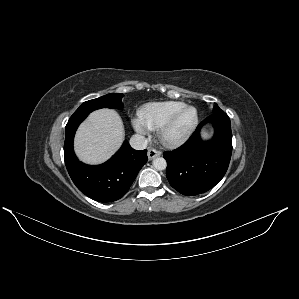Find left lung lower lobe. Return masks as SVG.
I'll use <instances>...</instances> for the list:
<instances>
[{"label": "left lung lower lobe", "instance_id": "left-lung-lower-lobe-1", "mask_svg": "<svg viewBox=\"0 0 299 299\" xmlns=\"http://www.w3.org/2000/svg\"><path fill=\"white\" fill-rule=\"evenodd\" d=\"M215 128L214 137L203 141L200 130L206 123ZM232 153V132L229 117L214 113L203 120L192 136L179 148L164 152L166 177L170 185L186 196L204 193L225 175Z\"/></svg>", "mask_w": 299, "mask_h": 299}]
</instances>
